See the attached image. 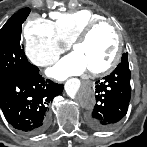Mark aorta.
Returning a JSON list of instances; mask_svg holds the SVG:
<instances>
[{
    "label": "aorta",
    "instance_id": "obj_1",
    "mask_svg": "<svg viewBox=\"0 0 147 147\" xmlns=\"http://www.w3.org/2000/svg\"><path fill=\"white\" fill-rule=\"evenodd\" d=\"M70 95L79 103L83 108L90 109L95 104V94L93 89L86 85L80 84L70 90Z\"/></svg>",
    "mask_w": 147,
    "mask_h": 147
}]
</instances>
